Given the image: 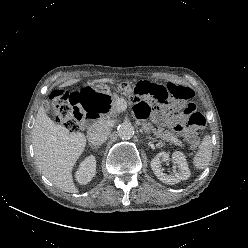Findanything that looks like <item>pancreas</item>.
I'll list each match as a JSON object with an SVG mask.
<instances>
[{"instance_id": "obj_1", "label": "pancreas", "mask_w": 248, "mask_h": 248, "mask_svg": "<svg viewBox=\"0 0 248 248\" xmlns=\"http://www.w3.org/2000/svg\"><path fill=\"white\" fill-rule=\"evenodd\" d=\"M119 99L120 98L118 95L113 96L112 108H111V111L109 113L110 116H116L120 112L119 106H118ZM142 129L146 133L152 132L157 138H161L162 140H166V141L171 142V143L178 145L180 147L183 146L182 141H180L174 135V133L167 131V130L164 131V129L161 127L156 129V128H154V126L151 125V123L144 122V123H142Z\"/></svg>"}]
</instances>
